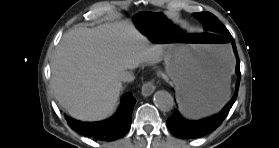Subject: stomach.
I'll list each match as a JSON object with an SVG mask.
<instances>
[{
	"mask_svg": "<svg viewBox=\"0 0 279 148\" xmlns=\"http://www.w3.org/2000/svg\"><path fill=\"white\" fill-rule=\"evenodd\" d=\"M150 43L166 48L167 76L176 85L182 112L189 117L214 112L226 101L232 56L208 34L189 32L166 13L142 11L133 19ZM222 50H227L223 59Z\"/></svg>",
	"mask_w": 279,
	"mask_h": 148,
	"instance_id": "1",
	"label": "stomach"
}]
</instances>
